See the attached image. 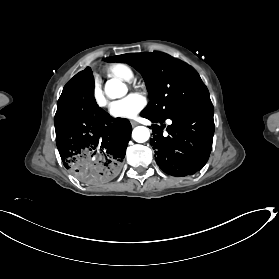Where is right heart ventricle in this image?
I'll return each mask as SVG.
<instances>
[{"mask_svg":"<svg viewBox=\"0 0 279 279\" xmlns=\"http://www.w3.org/2000/svg\"><path fill=\"white\" fill-rule=\"evenodd\" d=\"M103 72L113 79L125 82H129L134 78L132 69L128 65L121 63L110 64L104 68Z\"/></svg>","mask_w":279,"mask_h":279,"instance_id":"right-heart-ventricle-1","label":"right heart ventricle"}]
</instances>
